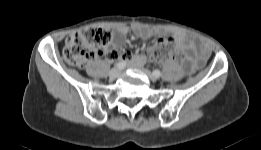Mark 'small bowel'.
Masks as SVG:
<instances>
[{"instance_id":"1","label":"small bowel","mask_w":261,"mask_h":150,"mask_svg":"<svg viewBox=\"0 0 261 150\" xmlns=\"http://www.w3.org/2000/svg\"><path fill=\"white\" fill-rule=\"evenodd\" d=\"M132 31L134 35L140 39H148L155 34L152 29L143 27H134ZM128 32L129 29L127 27H120L116 30L110 45V51L106 53V58L109 61H115L120 58L121 53L118 49L121 48L124 42V37ZM174 40L179 48L193 53V56L189 57L184 63V69L187 73L195 71L207 59L209 52L203 44L189 40L182 35L174 37ZM122 57L123 59L129 60L134 66H142L146 62V57L144 55H130L124 53Z\"/></svg>"}]
</instances>
